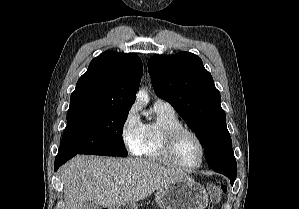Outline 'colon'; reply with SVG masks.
I'll list each match as a JSON object with an SVG mask.
<instances>
[{
	"label": "colon",
	"instance_id": "obj_1",
	"mask_svg": "<svg viewBox=\"0 0 299 209\" xmlns=\"http://www.w3.org/2000/svg\"><path fill=\"white\" fill-rule=\"evenodd\" d=\"M210 199L213 203H218L226 194L227 186L219 183H210L207 186Z\"/></svg>",
	"mask_w": 299,
	"mask_h": 209
}]
</instances>
